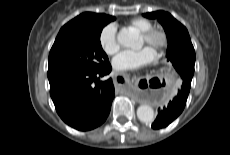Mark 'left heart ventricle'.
Listing matches in <instances>:
<instances>
[{"instance_id":"obj_1","label":"left heart ventricle","mask_w":230,"mask_h":155,"mask_svg":"<svg viewBox=\"0 0 230 155\" xmlns=\"http://www.w3.org/2000/svg\"><path fill=\"white\" fill-rule=\"evenodd\" d=\"M145 44H146V42H145L144 39L141 37V38H140V46H143V45H145ZM157 44H158V39L155 38L154 41H153L151 44H147V45H148L149 48H151V50H152L153 52H155V49H156Z\"/></svg>"}]
</instances>
